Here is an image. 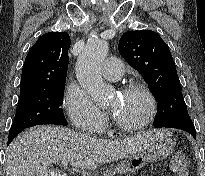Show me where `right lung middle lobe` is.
<instances>
[{"label":"right lung middle lobe","mask_w":205,"mask_h":176,"mask_svg":"<svg viewBox=\"0 0 205 176\" xmlns=\"http://www.w3.org/2000/svg\"><path fill=\"white\" fill-rule=\"evenodd\" d=\"M64 89L65 83L20 95L9 138H15L25 128L36 125H67L60 108Z\"/></svg>","instance_id":"obj_1"}]
</instances>
